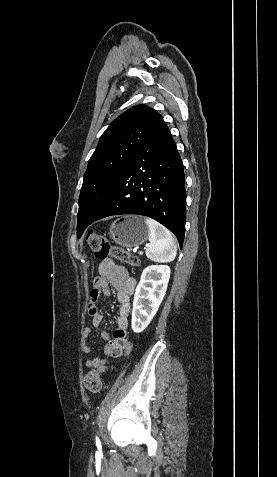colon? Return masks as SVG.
Masks as SVG:
<instances>
[{
    "label": "colon",
    "instance_id": "colon-1",
    "mask_svg": "<svg viewBox=\"0 0 277 477\" xmlns=\"http://www.w3.org/2000/svg\"><path fill=\"white\" fill-rule=\"evenodd\" d=\"M87 244L94 256L99 260L113 257L117 260L127 263L131 268H140L142 265L139 256H135L134 254L129 253L120 247L114 246L103 235L90 233L87 236ZM84 385L91 393L99 392L101 389L100 373L97 370H92L87 373L84 378Z\"/></svg>",
    "mask_w": 277,
    "mask_h": 477
}]
</instances>
